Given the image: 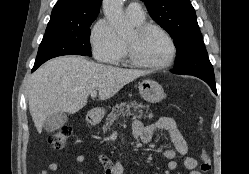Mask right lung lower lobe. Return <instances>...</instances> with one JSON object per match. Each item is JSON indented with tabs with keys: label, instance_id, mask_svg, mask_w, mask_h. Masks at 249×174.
<instances>
[{
	"label": "right lung lower lobe",
	"instance_id": "98d812e1",
	"mask_svg": "<svg viewBox=\"0 0 249 174\" xmlns=\"http://www.w3.org/2000/svg\"><path fill=\"white\" fill-rule=\"evenodd\" d=\"M41 64H34L32 71L36 70Z\"/></svg>",
	"mask_w": 249,
	"mask_h": 174
}]
</instances>
